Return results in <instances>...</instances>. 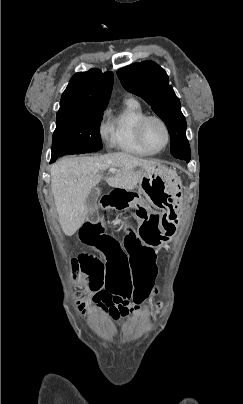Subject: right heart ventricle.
I'll use <instances>...</instances> for the list:
<instances>
[{"mask_svg": "<svg viewBox=\"0 0 243 404\" xmlns=\"http://www.w3.org/2000/svg\"><path fill=\"white\" fill-rule=\"evenodd\" d=\"M146 114L142 104L127 97L118 113L111 117L115 149L127 155L145 157L156 153L146 149L136 135V124Z\"/></svg>", "mask_w": 243, "mask_h": 404, "instance_id": "1", "label": "right heart ventricle"}]
</instances>
